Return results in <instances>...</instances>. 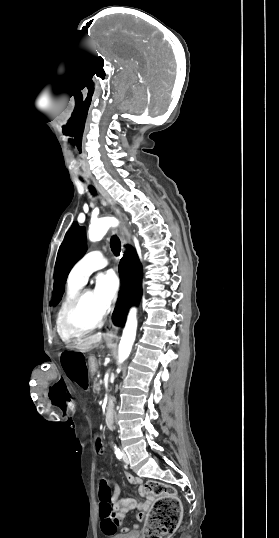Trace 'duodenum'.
I'll use <instances>...</instances> for the list:
<instances>
[{
	"label": "duodenum",
	"instance_id": "obj_1",
	"mask_svg": "<svg viewBox=\"0 0 279 538\" xmlns=\"http://www.w3.org/2000/svg\"><path fill=\"white\" fill-rule=\"evenodd\" d=\"M91 372L93 374H96L98 372V366L96 364H93L91 366ZM113 402H114V399L112 397H109L107 401L105 402L106 423H108L107 427L109 429H112L114 427V424L111 422V418L113 417L112 410H111L113 408V405H112Z\"/></svg>",
	"mask_w": 279,
	"mask_h": 538
}]
</instances>
